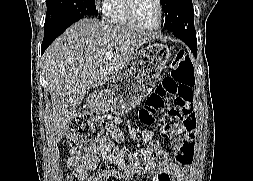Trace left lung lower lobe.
<instances>
[{
	"label": "left lung lower lobe",
	"mask_w": 253,
	"mask_h": 181,
	"mask_svg": "<svg viewBox=\"0 0 253 181\" xmlns=\"http://www.w3.org/2000/svg\"><path fill=\"white\" fill-rule=\"evenodd\" d=\"M172 34H174L176 37L184 41L188 45V47L191 49L194 56L196 57V48H197L196 36H191V35L176 33V32H172Z\"/></svg>",
	"instance_id": "0a47b994"
}]
</instances>
